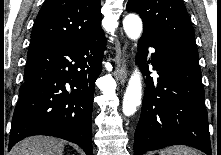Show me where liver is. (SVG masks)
Here are the masks:
<instances>
[{"label":"liver","instance_id":"liver-1","mask_svg":"<svg viewBox=\"0 0 221 155\" xmlns=\"http://www.w3.org/2000/svg\"><path fill=\"white\" fill-rule=\"evenodd\" d=\"M64 144L61 140L47 136H31L17 143L11 155H62Z\"/></svg>","mask_w":221,"mask_h":155}]
</instances>
